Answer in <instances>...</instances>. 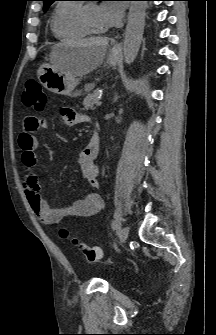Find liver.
I'll list each match as a JSON object with an SVG mask.
<instances>
[{
	"mask_svg": "<svg viewBox=\"0 0 216 335\" xmlns=\"http://www.w3.org/2000/svg\"><path fill=\"white\" fill-rule=\"evenodd\" d=\"M60 45H65V43ZM73 45L78 48V51L62 69L70 75L79 77L90 73L103 63L108 48V39L93 38Z\"/></svg>",
	"mask_w": 216,
	"mask_h": 335,
	"instance_id": "6515ba94",
	"label": "liver"
}]
</instances>
